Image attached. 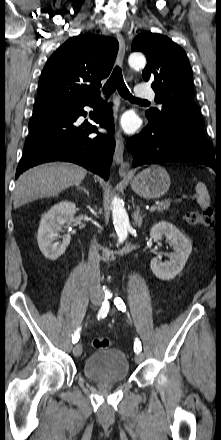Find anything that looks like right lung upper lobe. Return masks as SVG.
Segmentation results:
<instances>
[{
  "mask_svg": "<svg viewBox=\"0 0 221 440\" xmlns=\"http://www.w3.org/2000/svg\"><path fill=\"white\" fill-rule=\"evenodd\" d=\"M118 47L116 39L100 35L68 39L43 69L33 110L99 98L101 80L110 74Z\"/></svg>",
  "mask_w": 221,
  "mask_h": 440,
  "instance_id": "obj_1",
  "label": "right lung upper lobe"
}]
</instances>
